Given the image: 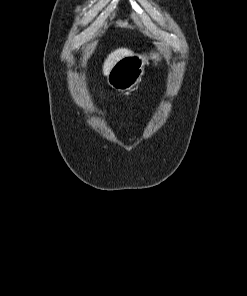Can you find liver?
Segmentation results:
<instances>
[{"label":"liver","instance_id":"obj_1","mask_svg":"<svg viewBox=\"0 0 247 296\" xmlns=\"http://www.w3.org/2000/svg\"><path fill=\"white\" fill-rule=\"evenodd\" d=\"M132 54L131 50L126 48H119L113 52H111L104 61L103 64V73L107 75L110 69L114 66V64L120 60L121 58Z\"/></svg>","mask_w":247,"mask_h":296}]
</instances>
